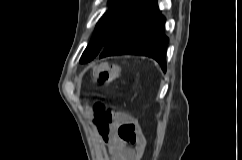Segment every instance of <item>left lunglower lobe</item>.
Instances as JSON below:
<instances>
[{
  "mask_svg": "<svg viewBox=\"0 0 242 160\" xmlns=\"http://www.w3.org/2000/svg\"><path fill=\"white\" fill-rule=\"evenodd\" d=\"M164 24L165 18L156 0L104 46L99 58L121 54L143 55L155 59L165 71L168 38L163 32Z\"/></svg>",
  "mask_w": 242,
  "mask_h": 160,
  "instance_id": "0a47b994",
  "label": "left lung lower lobe"
}]
</instances>
